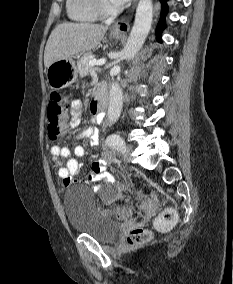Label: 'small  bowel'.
<instances>
[{"label":"small bowel","mask_w":233,"mask_h":284,"mask_svg":"<svg viewBox=\"0 0 233 284\" xmlns=\"http://www.w3.org/2000/svg\"><path fill=\"white\" fill-rule=\"evenodd\" d=\"M82 111L81 102L74 100L70 105V114L71 120L67 124V128H74L80 122V114ZM92 112V121L95 124H101L104 119V112L100 110L96 103L91 104ZM89 138L92 141H96L98 138V130L96 128L90 127L79 135L76 136V139ZM50 153L52 156V161L58 169V176L62 181L64 186L71 185L75 179V175L78 174L80 170V164L76 158L71 157V151L68 147H60L54 145L50 148ZM74 154L76 157H82L85 154V149L81 145H77L74 148ZM110 160V154L105 153L99 160L92 164V168L88 173L87 181L88 182H99L105 181L110 182L111 177L107 172L106 164Z\"/></svg>","instance_id":"c3829d8e"}]
</instances>
